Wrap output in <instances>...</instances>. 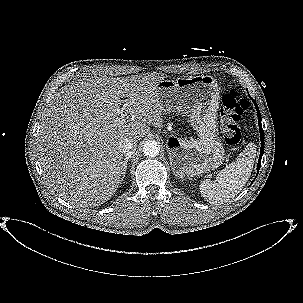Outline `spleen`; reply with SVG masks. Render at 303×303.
Returning a JSON list of instances; mask_svg holds the SVG:
<instances>
[{
  "label": "spleen",
  "instance_id": "1",
  "mask_svg": "<svg viewBox=\"0 0 303 303\" xmlns=\"http://www.w3.org/2000/svg\"><path fill=\"white\" fill-rule=\"evenodd\" d=\"M256 157V147L249 143L242 153L226 166L214 181L203 180L200 185L202 197L210 204H223L234 198L251 176Z\"/></svg>",
  "mask_w": 303,
  "mask_h": 303
}]
</instances>
